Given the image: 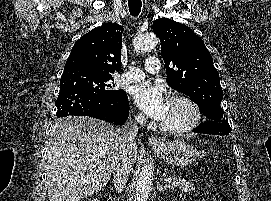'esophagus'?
Segmentation results:
<instances>
[{
	"label": "esophagus",
	"mask_w": 271,
	"mask_h": 201,
	"mask_svg": "<svg viewBox=\"0 0 271 201\" xmlns=\"http://www.w3.org/2000/svg\"><path fill=\"white\" fill-rule=\"evenodd\" d=\"M149 142L152 146H161L163 144L161 139L156 136L151 137Z\"/></svg>",
	"instance_id": "1"
}]
</instances>
